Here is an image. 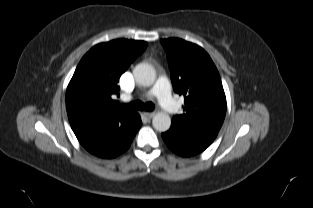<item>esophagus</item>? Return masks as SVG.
Listing matches in <instances>:
<instances>
[{
    "label": "esophagus",
    "instance_id": "1",
    "mask_svg": "<svg viewBox=\"0 0 313 208\" xmlns=\"http://www.w3.org/2000/svg\"><path fill=\"white\" fill-rule=\"evenodd\" d=\"M155 113L154 112H144V116L147 119H152L154 117Z\"/></svg>",
    "mask_w": 313,
    "mask_h": 208
}]
</instances>
